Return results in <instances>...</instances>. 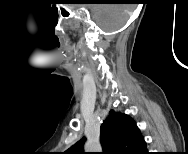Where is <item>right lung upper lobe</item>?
Masks as SVG:
<instances>
[{
  "label": "right lung upper lobe",
  "instance_id": "obj_1",
  "mask_svg": "<svg viewBox=\"0 0 188 154\" xmlns=\"http://www.w3.org/2000/svg\"><path fill=\"white\" fill-rule=\"evenodd\" d=\"M104 154H143L146 142L135 121L128 115L110 110L100 127ZM85 139V138H84ZM83 140L67 150L68 154H84Z\"/></svg>",
  "mask_w": 188,
  "mask_h": 154
}]
</instances>
